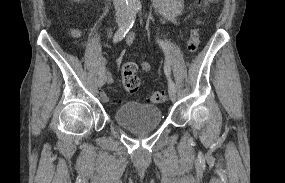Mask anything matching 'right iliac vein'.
Wrapping results in <instances>:
<instances>
[{
	"label": "right iliac vein",
	"mask_w": 285,
	"mask_h": 183,
	"mask_svg": "<svg viewBox=\"0 0 285 183\" xmlns=\"http://www.w3.org/2000/svg\"><path fill=\"white\" fill-rule=\"evenodd\" d=\"M125 23V19L124 18H119L117 20V24L119 26H122L123 24ZM105 83V77L103 75H100L99 78H98V81H97V84L99 87L103 86Z\"/></svg>",
	"instance_id": "obj_1"
}]
</instances>
